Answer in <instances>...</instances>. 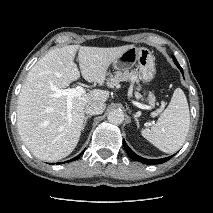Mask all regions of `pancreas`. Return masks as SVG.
<instances>
[{
    "instance_id": "cf45deb5",
    "label": "pancreas",
    "mask_w": 213,
    "mask_h": 213,
    "mask_svg": "<svg viewBox=\"0 0 213 213\" xmlns=\"http://www.w3.org/2000/svg\"><path fill=\"white\" fill-rule=\"evenodd\" d=\"M138 74L136 71H124V72H121V71H118L113 75L110 76V78L108 79V82H107V86L110 87V88H113L114 86H117L119 85L120 82L122 81H131V86H130V93L132 92V89H133V83L135 81H137L138 79ZM136 97H139V94H135ZM151 99H154V96L151 95L150 97Z\"/></svg>"
}]
</instances>
